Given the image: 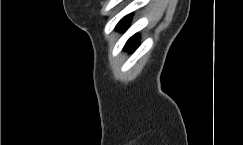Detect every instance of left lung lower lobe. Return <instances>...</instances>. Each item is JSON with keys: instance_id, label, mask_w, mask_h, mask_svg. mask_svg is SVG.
Masks as SVG:
<instances>
[{"instance_id": "left-lung-lower-lobe-1", "label": "left lung lower lobe", "mask_w": 243, "mask_h": 145, "mask_svg": "<svg viewBox=\"0 0 243 145\" xmlns=\"http://www.w3.org/2000/svg\"><path fill=\"white\" fill-rule=\"evenodd\" d=\"M131 16L127 15L117 24V30H124L130 23ZM138 42V35L131 37L125 45V49L134 50L136 48V43Z\"/></svg>"}]
</instances>
